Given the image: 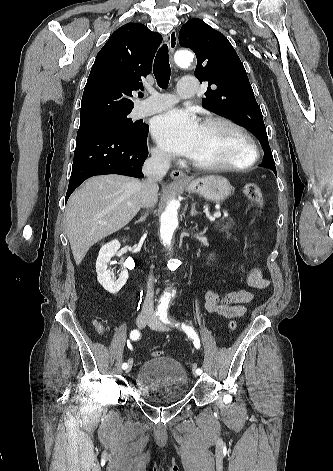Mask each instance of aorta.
<instances>
[{"instance_id": "762f6f07", "label": "aorta", "mask_w": 333, "mask_h": 471, "mask_svg": "<svg viewBox=\"0 0 333 471\" xmlns=\"http://www.w3.org/2000/svg\"><path fill=\"white\" fill-rule=\"evenodd\" d=\"M193 60V54L190 51H178L175 55V62L179 67L185 68L190 65ZM180 203L172 199L166 205L164 212L160 217V239L166 246H171L172 237L176 227L178 226V208ZM175 292H165L161 298L160 306L167 308L170 299L174 297Z\"/></svg>"}]
</instances>
